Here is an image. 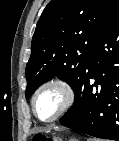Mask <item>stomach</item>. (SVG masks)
<instances>
[{
  "label": "stomach",
  "mask_w": 119,
  "mask_h": 141,
  "mask_svg": "<svg viewBox=\"0 0 119 141\" xmlns=\"http://www.w3.org/2000/svg\"><path fill=\"white\" fill-rule=\"evenodd\" d=\"M54 141H62L61 139H55ZM70 141H78L76 139H70Z\"/></svg>",
  "instance_id": "stomach-1"
}]
</instances>
